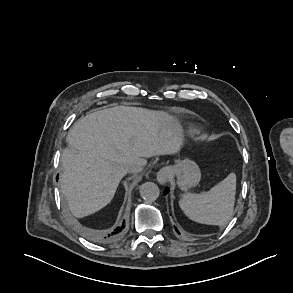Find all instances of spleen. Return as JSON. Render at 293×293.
Segmentation results:
<instances>
[{"instance_id": "1", "label": "spleen", "mask_w": 293, "mask_h": 293, "mask_svg": "<svg viewBox=\"0 0 293 293\" xmlns=\"http://www.w3.org/2000/svg\"><path fill=\"white\" fill-rule=\"evenodd\" d=\"M235 194L236 175L230 173L207 192L182 194L179 205L195 222L225 226L234 214Z\"/></svg>"}]
</instances>
